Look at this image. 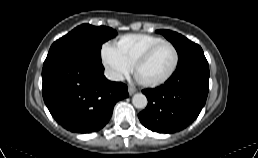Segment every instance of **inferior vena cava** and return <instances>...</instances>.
Instances as JSON below:
<instances>
[{
	"label": "inferior vena cava",
	"mask_w": 258,
	"mask_h": 158,
	"mask_svg": "<svg viewBox=\"0 0 258 158\" xmlns=\"http://www.w3.org/2000/svg\"><path fill=\"white\" fill-rule=\"evenodd\" d=\"M105 76L108 79H112V80L118 79L120 77L118 73H116V72H114L113 70H110V69L106 70Z\"/></svg>",
	"instance_id": "inferior-vena-cava-1"
}]
</instances>
